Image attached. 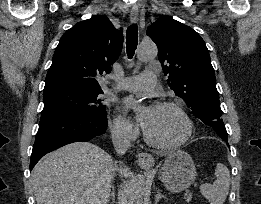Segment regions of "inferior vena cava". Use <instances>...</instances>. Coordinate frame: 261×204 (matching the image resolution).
Here are the masks:
<instances>
[{
  "mask_svg": "<svg viewBox=\"0 0 261 204\" xmlns=\"http://www.w3.org/2000/svg\"><path fill=\"white\" fill-rule=\"evenodd\" d=\"M112 142L115 151L123 155L131 145V134L127 127H117L112 129Z\"/></svg>",
  "mask_w": 261,
  "mask_h": 204,
  "instance_id": "602c4592",
  "label": "inferior vena cava"
}]
</instances>
